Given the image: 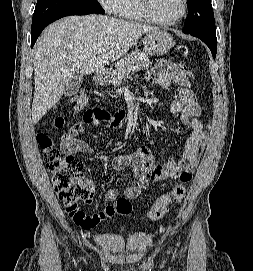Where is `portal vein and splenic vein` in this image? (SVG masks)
<instances>
[{"mask_svg":"<svg viewBox=\"0 0 253 271\" xmlns=\"http://www.w3.org/2000/svg\"><path fill=\"white\" fill-rule=\"evenodd\" d=\"M104 51H105V49L102 48V49H99V50H98V53L101 54V53H103ZM135 70H138V69H135V67H133L132 71H135Z\"/></svg>","mask_w":253,"mask_h":271,"instance_id":"1","label":"portal vein and splenic vein"}]
</instances>
